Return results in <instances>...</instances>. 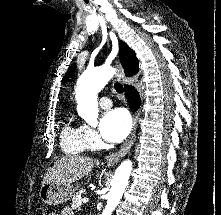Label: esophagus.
I'll return each instance as SVG.
<instances>
[{
	"label": "esophagus",
	"instance_id": "34e87169",
	"mask_svg": "<svg viewBox=\"0 0 221 215\" xmlns=\"http://www.w3.org/2000/svg\"><path fill=\"white\" fill-rule=\"evenodd\" d=\"M107 46H108V48L110 47L109 41L107 42ZM115 67L117 69L118 80L123 82L125 79V76L121 72L120 64L117 60H115ZM137 119H138V116L135 115L133 129H132L131 135H130L129 139L126 141V143L117 152L111 153L106 157V162L108 165L116 164L123 156H125L129 152V150L133 144V141L135 139V134H136V129H137Z\"/></svg>",
	"mask_w": 221,
	"mask_h": 215
}]
</instances>
